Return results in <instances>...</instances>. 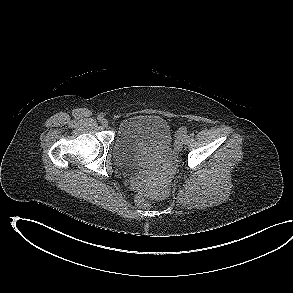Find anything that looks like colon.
I'll return each mask as SVG.
<instances>
[{
  "label": "colon",
  "instance_id": "obj_1",
  "mask_svg": "<svg viewBox=\"0 0 293 293\" xmlns=\"http://www.w3.org/2000/svg\"><path fill=\"white\" fill-rule=\"evenodd\" d=\"M136 203L141 207H149L151 205V203L145 198L144 190L141 187H138Z\"/></svg>",
  "mask_w": 293,
  "mask_h": 293
}]
</instances>
